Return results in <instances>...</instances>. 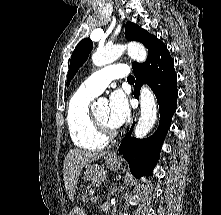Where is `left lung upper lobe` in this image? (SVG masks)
Here are the masks:
<instances>
[{
	"mask_svg": "<svg viewBox=\"0 0 221 215\" xmlns=\"http://www.w3.org/2000/svg\"><path fill=\"white\" fill-rule=\"evenodd\" d=\"M125 37L129 41H139L146 48H148L147 61L142 64L134 62L132 64L133 70L144 66L153 56L155 51L163 44V42L160 41L156 36L148 33L138 25L131 22H127L125 25ZM92 48L93 43L89 38L81 40L75 47L70 60V67L67 75V86L69 85V82L72 80L78 69L87 60Z\"/></svg>",
	"mask_w": 221,
	"mask_h": 215,
	"instance_id": "5c2ea615",
	"label": "left lung upper lobe"
}]
</instances>
